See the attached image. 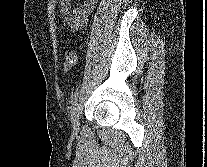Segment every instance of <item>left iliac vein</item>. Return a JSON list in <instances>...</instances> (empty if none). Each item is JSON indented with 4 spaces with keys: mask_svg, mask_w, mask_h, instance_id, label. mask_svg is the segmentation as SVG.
I'll list each match as a JSON object with an SVG mask.
<instances>
[{
    "mask_svg": "<svg viewBox=\"0 0 207 167\" xmlns=\"http://www.w3.org/2000/svg\"><path fill=\"white\" fill-rule=\"evenodd\" d=\"M71 123H72L73 130L77 132L79 130V125H80L78 104H75V106L71 111Z\"/></svg>",
    "mask_w": 207,
    "mask_h": 167,
    "instance_id": "1",
    "label": "left iliac vein"
}]
</instances>
